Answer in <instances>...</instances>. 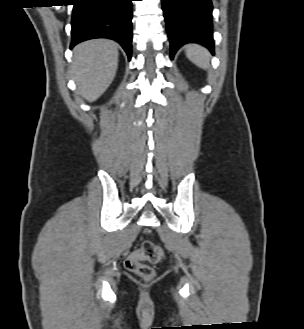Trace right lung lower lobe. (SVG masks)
Listing matches in <instances>:
<instances>
[{
    "label": "right lung lower lobe",
    "mask_w": 304,
    "mask_h": 329,
    "mask_svg": "<svg viewBox=\"0 0 304 329\" xmlns=\"http://www.w3.org/2000/svg\"><path fill=\"white\" fill-rule=\"evenodd\" d=\"M71 46L94 38L117 41L131 59L133 0H73Z\"/></svg>",
    "instance_id": "right-lung-lower-lobe-1"
}]
</instances>
